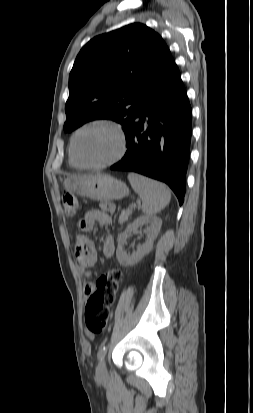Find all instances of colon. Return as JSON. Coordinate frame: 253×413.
I'll list each match as a JSON object with an SVG mask.
<instances>
[{
    "label": "colon",
    "mask_w": 253,
    "mask_h": 413,
    "mask_svg": "<svg viewBox=\"0 0 253 413\" xmlns=\"http://www.w3.org/2000/svg\"><path fill=\"white\" fill-rule=\"evenodd\" d=\"M62 203L67 216L74 217L78 214L80 203L73 194L64 192ZM122 279V271L113 268L97 280L85 311L86 326L90 334H100L106 329L111 316V307Z\"/></svg>",
    "instance_id": "1"
}]
</instances>
